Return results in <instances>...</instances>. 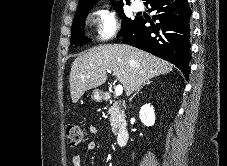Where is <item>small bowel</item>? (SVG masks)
<instances>
[{
  "mask_svg": "<svg viewBox=\"0 0 227 166\" xmlns=\"http://www.w3.org/2000/svg\"><path fill=\"white\" fill-rule=\"evenodd\" d=\"M88 131H89L90 134H96V133H97V128H96L95 125H90V126L88 127ZM95 146H96V145H95V142H94V141H90V142H88V144H87V148H88L89 150L94 149ZM72 163H73V166H82L80 156L77 155V154L74 155L73 160H72Z\"/></svg>",
  "mask_w": 227,
  "mask_h": 166,
  "instance_id": "c3829d8e",
  "label": "small bowel"
}]
</instances>
